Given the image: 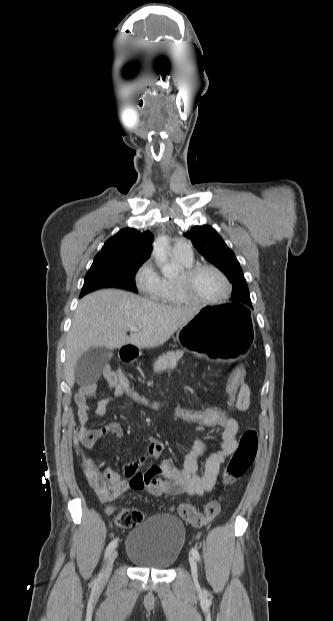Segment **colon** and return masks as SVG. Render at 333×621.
<instances>
[{"mask_svg":"<svg viewBox=\"0 0 333 621\" xmlns=\"http://www.w3.org/2000/svg\"><path fill=\"white\" fill-rule=\"evenodd\" d=\"M245 374V368L241 364L232 371L229 377L226 387L228 409H236V399L245 383ZM105 375L113 377L123 396L134 403L156 411L167 412L174 418L189 424L220 428L228 418L232 417L227 409L216 407L194 409L156 400L140 391L120 370H106ZM76 448L82 458L87 482L102 501L110 500L116 492L114 481L86 455L81 448V443L76 442ZM257 450V432L255 429L249 428L241 436L238 447L228 462L224 474L225 485L234 483L248 472L254 463ZM220 511L221 506L217 501L208 502L203 512H199L191 504H182L178 508L179 515L194 527H201L211 522L219 515ZM143 519V513L134 508L122 509L115 516L116 524L122 528L134 527L140 524Z\"/></svg>","mask_w":333,"mask_h":621,"instance_id":"colon-1","label":"colon"}]
</instances>
